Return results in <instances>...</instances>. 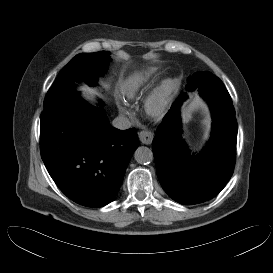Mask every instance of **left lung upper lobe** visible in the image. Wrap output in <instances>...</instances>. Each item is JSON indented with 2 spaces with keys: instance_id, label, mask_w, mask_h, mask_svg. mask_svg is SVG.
Returning <instances> with one entry per match:
<instances>
[{
  "instance_id": "1",
  "label": "left lung upper lobe",
  "mask_w": 273,
  "mask_h": 273,
  "mask_svg": "<svg viewBox=\"0 0 273 273\" xmlns=\"http://www.w3.org/2000/svg\"><path fill=\"white\" fill-rule=\"evenodd\" d=\"M207 73V72H197L193 74L191 77L188 78V85H187V90L192 91L196 89L198 83L200 82L202 76Z\"/></svg>"
}]
</instances>
